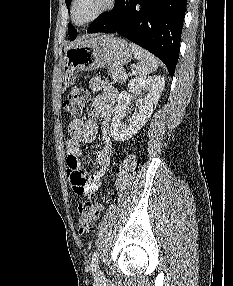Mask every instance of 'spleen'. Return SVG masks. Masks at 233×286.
Wrapping results in <instances>:
<instances>
[{
	"label": "spleen",
	"mask_w": 233,
	"mask_h": 286,
	"mask_svg": "<svg viewBox=\"0 0 233 286\" xmlns=\"http://www.w3.org/2000/svg\"><path fill=\"white\" fill-rule=\"evenodd\" d=\"M129 46L138 61L136 72L139 75L145 76L158 68L160 62L154 55L134 43H130Z\"/></svg>",
	"instance_id": "spleen-1"
}]
</instances>
